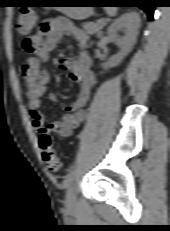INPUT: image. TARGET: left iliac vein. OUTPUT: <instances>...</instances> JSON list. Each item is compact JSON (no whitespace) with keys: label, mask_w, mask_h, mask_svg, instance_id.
<instances>
[{"label":"left iliac vein","mask_w":170,"mask_h":231,"mask_svg":"<svg viewBox=\"0 0 170 231\" xmlns=\"http://www.w3.org/2000/svg\"><path fill=\"white\" fill-rule=\"evenodd\" d=\"M77 204V199L74 191V187L71 186L70 189L67 192L66 196V206L68 208H74Z\"/></svg>","instance_id":"1"}]
</instances>
